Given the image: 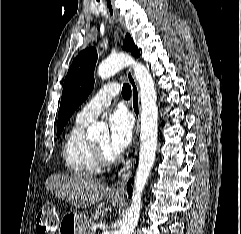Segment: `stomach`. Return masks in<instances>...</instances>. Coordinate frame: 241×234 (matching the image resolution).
<instances>
[{
  "mask_svg": "<svg viewBox=\"0 0 241 234\" xmlns=\"http://www.w3.org/2000/svg\"><path fill=\"white\" fill-rule=\"evenodd\" d=\"M109 200L112 205H117L120 203L121 198L110 195ZM60 227L62 229L61 231L67 234H86L87 231V223L84 221L83 216L76 212L66 215Z\"/></svg>",
  "mask_w": 241,
  "mask_h": 234,
  "instance_id": "obj_1",
  "label": "stomach"
}]
</instances>
